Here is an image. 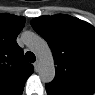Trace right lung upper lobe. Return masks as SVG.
<instances>
[{
  "label": "right lung upper lobe",
  "mask_w": 95,
  "mask_h": 95,
  "mask_svg": "<svg viewBox=\"0 0 95 95\" xmlns=\"http://www.w3.org/2000/svg\"><path fill=\"white\" fill-rule=\"evenodd\" d=\"M25 18L0 14V95H21L33 65L23 59L16 38Z\"/></svg>",
  "instance_id": "obj_1"
}]
</instances>
